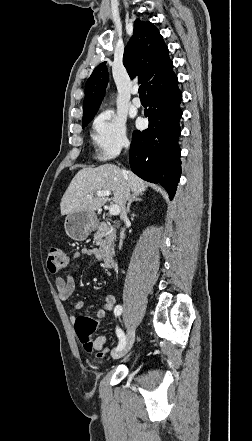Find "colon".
Masks as SVG:
<instances>
[{
	"mask_svg": "<svg viewBox=\"0 0 252 441\" xmlns=\"http://www.w3.org/2000/svg\"><path fill=\"white\" fill-rule=\"evenodd\" d=\"M67 254L60 248L51 247L47 253V269L51 273H56L63 269L68 264ZM102 320L101 318L94 316H81L75 320L74 327L75 331L82 342L86 351L93 353L95 352V357L103 358L106 354L104 350H97L91 340L94 334L98 322Z\"/></svg>",
	"mask_w": 252,
	"mask_h": 441,
	"instance_id": "colon-1",
	"label": "colon"
}]
</instances>
